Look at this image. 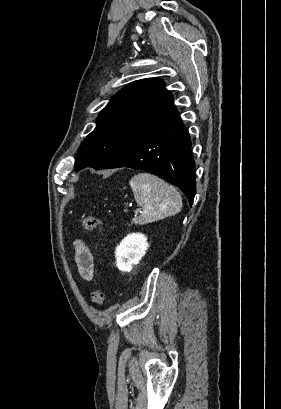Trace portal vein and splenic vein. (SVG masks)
<instances>
[{"instance_id": "portal-vein-and-splenic-vein-1", "label": "portal vein and splenic vein", "mask_w": 281, "mask_h": 409, "mask_svg": "<svg viewBox=\"0 0 281 409\" xmlns=\"http://www.w3.org/2000/svg\"><path fill=\"white\" fill-rule=\"evenodd\" d=\"M123 213H124V214H127V213H128V210H127V209H124V210H123ZM135 213L143 214V213H144V210H143V209H138V210H135Z\"/></svg>"}]
</instances>
